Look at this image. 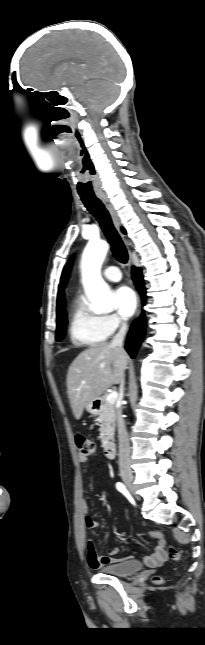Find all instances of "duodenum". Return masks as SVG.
I'll list each match as a JSON object with an SVG mask.
<instances>
[{"label":"duodenum","instance_id":"obj_1","mask_svg":"<svg viewBox=\"0 0 205 645\" xmlns=\"http://www.w3.org/2000/svg\"><path fill=\"white\" fill-rule=\"evenodd\" d=\"M104 454L108 459H114L116 456V445L114 442L109 441L104 445Z\"/></svg>","mask_w":205,"mask_h":645}]
</instances>
